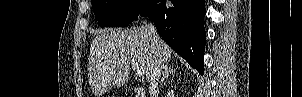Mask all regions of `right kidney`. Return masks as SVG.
<instances>
[{
	"instance_id": "obj_1",
	"label": "right kidney",
	"mask_w": 302,
	"mask_h": 97,
	"mask_svg": "<svg viewBox=\"0 0 302 97\" xmlns=\"http://www.w3.org/2000/svg\"><path fill=\"white\" fill-rule=\"evenodd\" d=\"M168 97H173L174 96V93H173V91H171V92H168V95H167Z\"/></svg>"
}]
</instances>
